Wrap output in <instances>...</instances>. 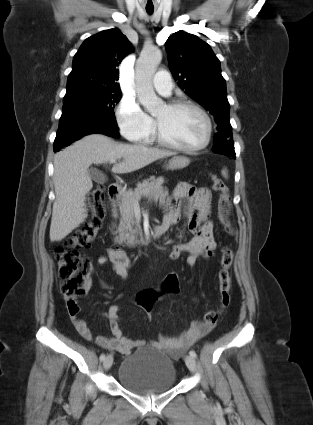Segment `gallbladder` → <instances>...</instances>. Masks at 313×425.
I'll use <instances>...</instances> for the list:
<instances>
[{
  "label": "gallbladder",
  "mask_w": 313,
  "mask_h": 425,
  "mask_svg": "<svg viewBox=\"0 0 313 425\" xmlns=\"http://www.w3.org/2000/svg\"><path fill=\"white\" fill-rule=\"evenodd\" d=\"M90 175L92 179L99 184H103L106 180L104 174L96 169L90 170Z\"/></svg>",
  "instance_id": "gallbladder-1"
}]
</instances>
